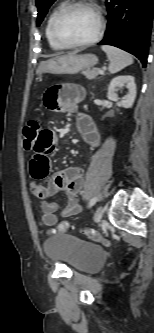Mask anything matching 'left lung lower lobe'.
<instances>
[{"label": "left lung lower lobe", "mask_w": 154, "mask_h": 333, "mask_svg": "<svg viewBox=\"0 0 154 333\" xmlns=\"http://www.w3.org/2000/svg\"><path fill=\"white\" fill-rule=\"evenodd\" d=\"M108 26L103 40L135 55L146 66L151 40L154 0H110L106 2Z\"/></svg>", "instance_id": "0a47b994"}]
</instances>
